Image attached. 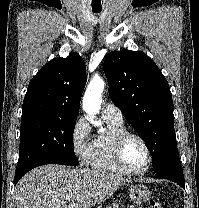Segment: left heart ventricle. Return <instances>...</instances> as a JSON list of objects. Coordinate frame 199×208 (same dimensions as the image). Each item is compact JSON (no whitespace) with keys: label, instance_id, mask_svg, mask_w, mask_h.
Returning a JSON list of instances; mask_svg holds the SVG:
<instances>
[{"label":"left heart ventricle","instance_id":"b2bd125f","mask_svg":"<svg viewBox=\"0 0 199 208\" xmlns=\"http://www.w3.org/2000/svg\"><path fill=\"white\" fill-rule=\"evenodd\" d=\"M123 157L127 166L132 169H140L147 161V153L144 146L135 138H129L126 141Z\"/></svg>","mask_w":199,"mask_h":208}]
</instances>
